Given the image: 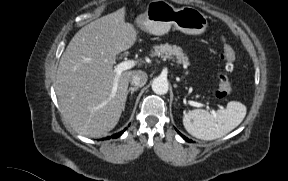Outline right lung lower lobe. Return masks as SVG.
<instances>
[{
  "mask_svg": "<svg viewBox=\"0 0 288 181\" xmlns=\"http://www.w3.org/2000/svg\"><path fill=\"white\" fill-rule=\"evenodd\" d=\"M124 131H125V129H124L123 131L119 132V133H116V134H114V135H112V136H110V137H107V139L117 138V137L121 136V135L124 133ZM103 140H104V139H103Z\"/></svg>",
  "mask_w": 288,
  "mask_h": 181,
  "instance_id": "1",
  "label": "right lung lower lobe"
}]
</instances>
